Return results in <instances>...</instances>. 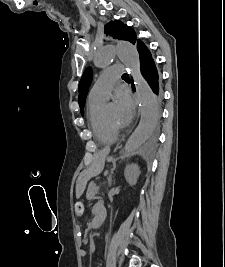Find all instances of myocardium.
I'll use <instances>...</instances> for the list:
<instances>
[{
    "label": "myocardium",
    "instance_id": "myocardium-1",
    "mask_svg": "<svg viewBox=\"0 0 225 267\" xmlns=\"http://www.w3.org/2000/svg\"><path fill=\"white\" fill-rule=\"evenodd\" d=\"M103 118H104V121H105L106 125L108 126V128H109L111 131H113V132H115V133L117 134L118 131H119V128H118L117 126L111 124V123L105 118V116H103Z\"/></svg>",
    "mask_w": 225,
    "mask_h": 267
}]
</instances>
